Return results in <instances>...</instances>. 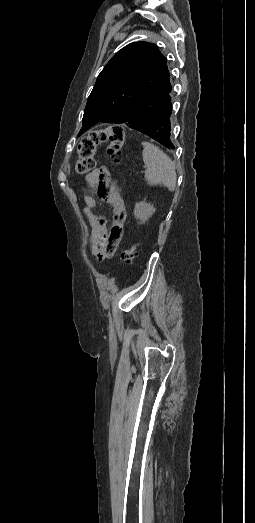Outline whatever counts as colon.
Wrapping results in <instances>:
<instances>
[{"mask_svg": "<svg viewBox=\"0 0 255 523\" xmlns=\"http://www.w3.org/2000/svg\"><path fill=\"white\" fill-rule=\"evenodd\" d=\"M125 141V132L121 126L110 125L102 129L89 132L77 146L78 160L75 166L77 174L84 175L95 167V153L102 144H107L106 154L114 162L118 161V154ZM137 256L135 247H128L121 251L118 259L124 264H132Z\"/></svg>", "mask_w": 255, "mask_h": 523, "instance_id": "1", "label": "colon"}]
</instances>
